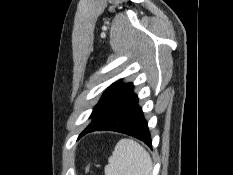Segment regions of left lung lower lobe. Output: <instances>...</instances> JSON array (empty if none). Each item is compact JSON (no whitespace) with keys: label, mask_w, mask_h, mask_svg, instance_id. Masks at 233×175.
<instances>
[{"label":"left lung lower lobe","mask_w":233,"mask_h":175,"mask_svg":"<svg viewBox=\"0 0 233 175\" xmlns=\"http://www.w3.org/2000/svg\"><path fill=\"white\" fill-rule=\"evenodd\" d=\"M129 88L95 123L87 127L79 137L93 131H116L142 140L151 147V136L138 98Z\"/></svg>","instance_id":"obj_1"}]
</instances>
